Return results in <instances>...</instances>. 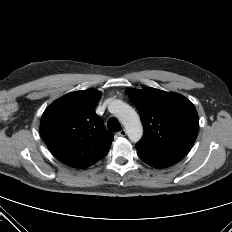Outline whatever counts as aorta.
Instances as JSON below:
<instances>
[{
  "mask_svg": "<svg viewBox=\"0 0 232 232\" xmlns=\"http://www.w3.org/2000/svg\"><path fill=\"white\" fill-rule=\"evenodd\" d=\"M109 109L124 125L129 139L134 143L138 142L143 135V126L137 112L121 100H114Z\"/></svg>",
  "mask_w": 232,
  "mask_h": 232,
  "instance_id": "aorta-1",
  "label": "aorta"
}]
</instances>
